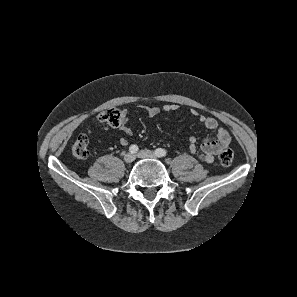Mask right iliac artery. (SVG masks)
<instances>
[{"mask_svg": "<svg viewBox=\"0 0 297 297\" xmlns=\"http://www.w3.org/2000/svg\"><path fill=\"white\" fill-rule=\"evenodd\" d=\"M138 150H139V148H138L137 145H131V146L129 147V152H130L131 154H136V153L138 152Z\"/></svg>", "mask_w": 297, "mask_h": 297, "instance_id": "obj_1", "label": "right iliac artery"}]
</instances>
